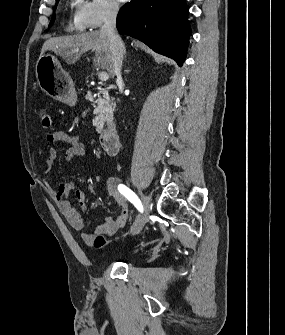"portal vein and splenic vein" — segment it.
<instances>
[{
  "label": "portal vein and splenic vein",
  "mask_w": 285,
  "mask_h": 335,
  "mask_svg": "<svg viewBox=\"0 0 285 335\" xmlns=\"http://www.w3.org/2000/svg\"><path fill=\"white\" fill-rule=\"evenodd\" d=\"M98 78H99V80H101V82H106V80H109V76H108V74H106V72H101V74H99Z\"/></svg>",
  "instance_id": "obj_1"
}]
</instances>
